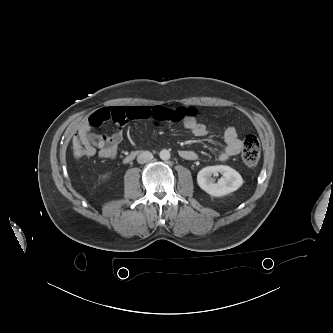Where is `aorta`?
<instances>
[{
  "instance_id": "obj_1",
  "label": "aorta",
  "mask_w": 333,
  "mask_h": 333,
  "mask_svg": "<svg viewBox=\"0 0 333 333\" xmlns=\"http://www.w3.org/2000/svg\"><path fill=\"white\" fill-rule=\"evenodd\" d=\"M159 156L162 160H168V159H170L171 155H170V152L168 150L163 149V150L160 151Z\"/></svg>"
}]
</instances>
